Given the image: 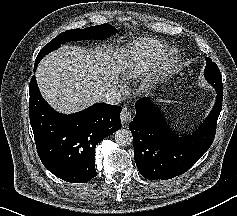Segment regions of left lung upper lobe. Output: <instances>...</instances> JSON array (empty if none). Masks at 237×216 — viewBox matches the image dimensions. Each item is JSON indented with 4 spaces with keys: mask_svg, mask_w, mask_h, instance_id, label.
<instances>
[{
    "mask_svg": "<svg viewBox=\"0 0 237 216\" xmlns=\"http://www.w3.org/2000/svg\"><path fill=\"white\" fill-rule=\"evenodd\" d=\"M204 75L206 79L211 83L216 89L223 90L222 76L215 63L208 57H206V67Z\"/></svg>",
    "mask_w": 237,
    "mask_h": 216,
    "instance_id": "5c2ea615",
    "label": "left lung upper lobe"
}]
</instances>
